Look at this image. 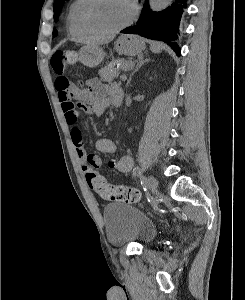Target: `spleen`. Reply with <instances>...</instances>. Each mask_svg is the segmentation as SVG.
<instances>
[{
  "mask_svg": "<svg viewBox=\"0 0 245 300\" xmlns=\"http://www.w3.org/2000/svg\"><path fill=\"white\" fill-rule=\"evenodd\" d=\"M161 47L162 45L160 43H155V42H152L150 44V49L151 51H153L154 53H159L160 50H161Z\"/></svg>",
  "mask_w": 245,
  "mask_h": 300,
  "instance_id": "spleen-1",
  "label": "spleen"
}]
</instances>
